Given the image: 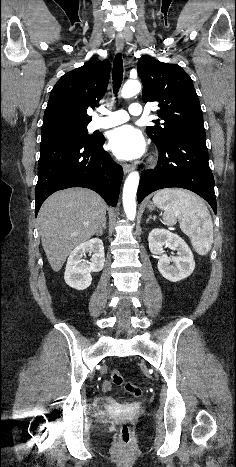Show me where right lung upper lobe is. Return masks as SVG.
<instances>
[{
  "label": "right lung upper lobe",
  "instance_id": "cb5924a9",
  "mask_svg": "<svg viewBox=\"0 0 236 467\" xmlns=\"http://www.w3.org/2000/svg\"><path fill=\"white\" fill-rule=\"evenodd\" d=\"M110 76V62L92 58L82 67L63 75L51 90L42 130L87 126V108L99 105Z\"/></svg>",
  "mask_w": 236,
  "mask_h": 467
}]
</instances>
